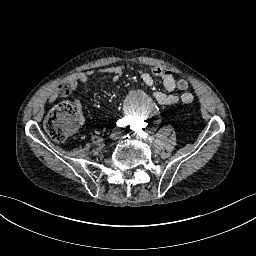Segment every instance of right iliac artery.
Masks as SVG:
<instances>
[{"mask_svg": "<svg viewBox=\"0 0 256 256\" xmlns=\"http://www.w3.org/2000/svg\"><path fill=\"white\" fill-rule=\"evenodd\" d=\"M127 125V123L125 122L124 119H120L118 122H117V126L119 127H125Z\"/></svg>", "mask_w": 256, "mask_h": 256, "instance_id": "obj_1", "label": "right iliac artery"}]
</instances>
